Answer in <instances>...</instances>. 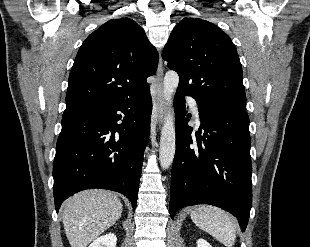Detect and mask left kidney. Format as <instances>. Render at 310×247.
I'll use <instances>...</instances> for the list:
<instances>
[{
  "label": "left kidney",
  "instance_id": "5707ae66",
  "mask_svg": "<svg viewBox=\"0 0 310 247\" xmlns=\"http://www.w3.org/2000/svg\"><path fill=\"white\" fill-rule=\"evenodd\" d=\"M197 247H212L206 240L199 239L197 241Z\"/></svg>",
  "mask_w": 310,
  "mask_h": 247
}]
</instances>
